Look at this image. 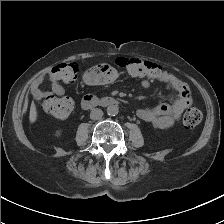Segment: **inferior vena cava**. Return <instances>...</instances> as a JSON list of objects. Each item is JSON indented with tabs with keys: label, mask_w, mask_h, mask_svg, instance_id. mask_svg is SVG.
Wrapping results in <instances>:
<instances>
[{
	"label": "inferior vena cava",
	"mask_w": 224,
	"mask_h": 224,
	"mask_svg": "<svg viewBox=\"0 0 224 224\" xmlns=\"http://www.w3.org/2000/svg\"><path fill=\"white\" fill-rule=\"evenodd\" d=\"M103 116V111L101 109H93L90 113V118L92 120H98Z\"/></svg>",
	"instance_id": "inferior-vena-cava-1"
}]
</instances>
